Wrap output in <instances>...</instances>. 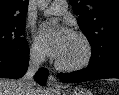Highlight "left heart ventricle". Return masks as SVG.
<instances>
[{
    "label": "left heart ventricle",
    "instance_id": "1",
    "mask_svg": "<svg viewBox=\"0 0 119 95\" xmlns=\"http://www.w3.org/2000/svg\"><path fill=\"white\" fill-rule=\"evenodd\" d=\"M84 53L83 44L81 41L72 36L68 46L66 47L63 55L58 59V61L64 64H72L79 61Z\"/></svg>",
    "mask_w": 119,
    "mask_h": 95
}]
</instances>
